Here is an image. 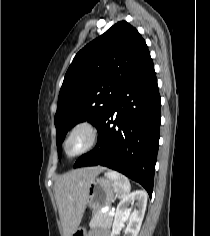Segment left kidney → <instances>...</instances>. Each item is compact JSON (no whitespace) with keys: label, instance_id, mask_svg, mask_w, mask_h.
Here are the masks:
<instances>
[{"label":"left kidney","instance_id":"left-kidney-1","mask_svg":"<svg viewBox=\"0 0 210 236\" xmlns=\"http://www.w3.org/2000/svg\"><path fill=\"white\" fill-rule=\"evenodd\" d=\"M135 201L139 209L132 210L129 205H133ZM146 205L147 193L145 191L138 190L125 196L117 206L111 236L120 234V230L124 227V222L127 218H129V223L125 229V236H137L144 218Z\"/></svg>","mask_w":210,"mask_h":236}]
</instances>
